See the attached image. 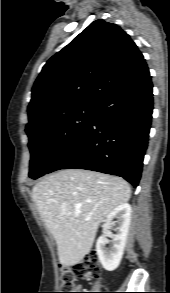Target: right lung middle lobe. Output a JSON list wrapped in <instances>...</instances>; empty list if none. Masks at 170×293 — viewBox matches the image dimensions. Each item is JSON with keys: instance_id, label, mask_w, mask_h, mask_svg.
<instances>
[{"instance_id": "dd1d6c3e", "label": "right lung middle lobe", "mask_w": 170, "mask_h": 293, "mask_svg": "<svg viewBox=\"0 0 170 293\" xmlns=\"http://www.w3.org/2000/svg\"><path fill=\"white\" fill-rule=\"evenodd\" d=\"M98 105H79L26 129L31 153L29 177L46 174L57 158L94 121Z\"/></svg>"}]
</instances>
